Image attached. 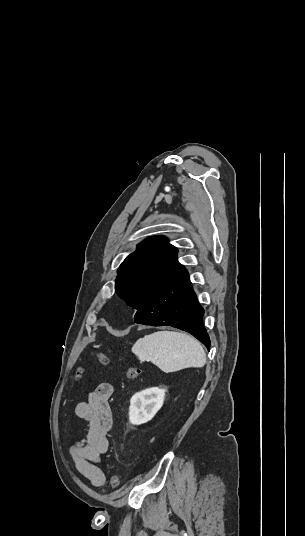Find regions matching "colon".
<instances>
[{
    "mask_svg": "<svg viewBox=\"0 0 305 536\" xmlns=\"http://www.w3.org/2000/svg\"><path fill=\"white\" fill-rule=\"evenodd\" d=\"M99 358H100V361L103 364H109L110 363L109 357L104 355V354H100ZM140 375H141V370H140V368H138L136 366H129V367H127L125 369V376L130 380H135V379L139 378ZM110 481H111V486L113 488H116L119 485V478H118V476L116 474L111 475Z\"/></svg>",
    "mask_w": 305,
    "mask_h": 536,
    "instance_id": "obj_1",
    "label": "colon"
}]
</instances>
